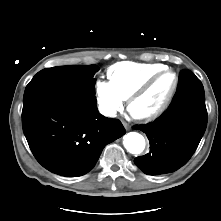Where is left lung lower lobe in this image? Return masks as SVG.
Wrapping results in <instances>:
<instances>
[{
	"label": "left lung lower lobe",
	"mask_w": 221,
	"mask_h": 221,
	"mask_svg": "<svg viewBox=\"0 0 221 221\" xmlns=\"http://www.w3.org/2000/svg\"><path fill=\"white\" fill-rule=\"evenodd\" d=\"M206 126L203 85L191 71L183 70L166 112L151 123L135 127L150 141V152L135 158V164L148 175L176 171L191 158Z\"/></svg>",
	"instance_id": "0a47b994"
}]
</instances>
